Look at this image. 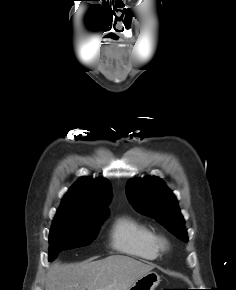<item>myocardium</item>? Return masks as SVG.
Listing matches in <instances>:
<instances>
[{
    "label": "myocardium",
    "mask_w": 236,
    "mask_h": 290,
    "mask_svg": "<svg viewBox=\"0 0 236 290\" xmlns=\"http://www.w3.org/2000/svg\"><path fill=\"white\" fill-rule=\"evenodd\" d=\"M157 243H158L159 249H162V250L166 249L168 246L167 240L161 237L157 238Z\"/></svg>",
    "instance_id": "myocardium-1"
}]
</instances>
